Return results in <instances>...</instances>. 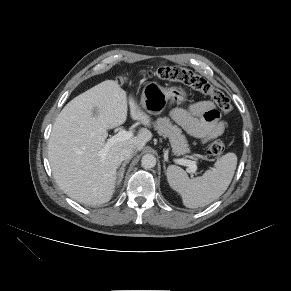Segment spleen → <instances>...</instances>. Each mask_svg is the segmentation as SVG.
Masks as SVG:
<instances>
[{"instance_id": "spleen-1", "label": "spleen", "mask_w": 291, "mask_h": 291, "mask_svg": "<svg viewBox=\"0 0 291 291\" xmlns=\"http://www.w3.org/2000/svg\"><path fill=\"white\" fill-rule=\"evenodd\" d=\"M236 165V154L227 153L214 167L193 179H190L182 168L171 165L167 169V180L170 187L180 194L185 207H204L217 200L227 190Z\"/></svg>"}]
</instances>
